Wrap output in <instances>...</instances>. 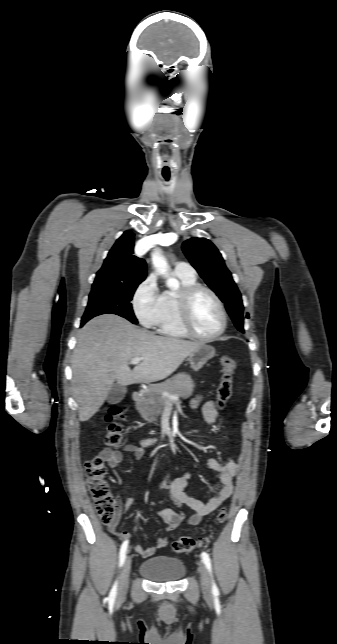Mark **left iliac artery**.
<instances>
[{
    "label": "left iliac artery",
    "mask_w": 337,
    "mask_h": 644,
    "mask_svg": "<svg viewBox=\"0 0 337 644\" xmlns=\"http://www.w3.org/2000/svg\"><path fill=\"white\" fill-rule=\"evenodd\" d=\"M201 557H202V560H203L206 568L208 569V571L212 575V565H211V560H210L209 555L206 552H202ZM212 591H213L214 594H218V588H217V586H216L214 581H213V585H212Z\"/></svg>",
    "instance_id": "left-iliac-artery-1"
}]
</instances>
